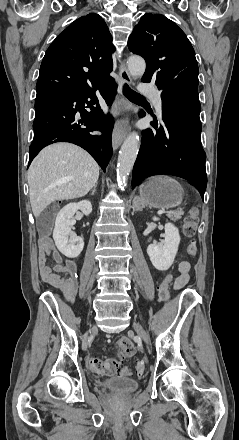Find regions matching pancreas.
<instances>
[{
    "label": "pancreas",
    "mask_w": 239,
    "mask_h": 440,
    "mask_svg": "<svg viewBox=\"0 0 239 440\" xmlns=\"http://www.w3.org/2000/svg\"><path fill=\"white\" fill-rule=\"evenodd\" d=\"M184 212H181V210H173V212H170V214H167L168 218L170 220H180L181 216H183Z\"/></svg>",
    "instance_id": "pancreas-1"
}]
</instances>
